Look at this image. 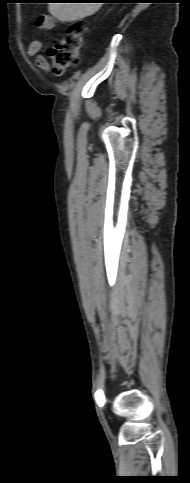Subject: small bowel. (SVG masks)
Wrapping results in <instances>:
<instances>
[{
  "instance_id": "obj_1",
  "label": "small bowel",
  "mask_w": 190,
  "mask_h": 483,
  "mask_svg": "<svg viewBox=\"0 0 190 483\" xmlns=\"http://www.w3.org/2000/svg\"><path fill=\"white\" fill-rule=\"evenodd\" d=\"M36 24L38 27L46 30H50L56 27V22L54 18L48 14L39 15L36 20ZM41 49L42 42L39 39L35 38L30 42L27 53L29 56L35 57L36 64L39 68L47 70L48 62L46 57L43 54H40Z\"/></svg>"
}]
</instances>
